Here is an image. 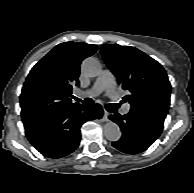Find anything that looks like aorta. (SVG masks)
I'll return each instance as SVG.
<instances>
[{"label":"aorta","instance_id":"762f6f07","mask_svg":"<svg viewBox=\"0 0 194 193\" xmlns=\"http://www.w3.org/2000/svg\"><path fill=\"white\" fill-rule=\"evenodd\" d=\"M81 68L83 73L91 78L97 77L101 72V64L97 59L92 57L86 58ZM104 135L109 141H118L121 137L119 126L112 121H108L104 125Z\"/></svg>","mask_w":194,"mask_h":193}]
</instances>
